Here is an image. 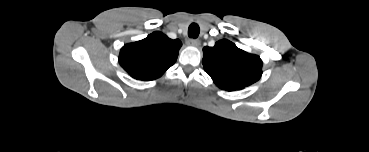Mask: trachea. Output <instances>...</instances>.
I'll return each mask as SVG.
<instances>
[{
	"label": "trachea",
	"mask_w": 369,
	"mask_h": 152,
	"mask_svg": "<svg viewBox=\"0 0 369 152\" xmlns=\"http://www.w3.org/2000/svg\"><path fill=\"white\" fill-rule=\"evenodd\" d=\"M199 33H200V28H199L198 24L192 23L188 28V36L190 38L195 39L199 36Z\"/></svg>",
	"instance_id": "3493384b"
}]
</instances>
